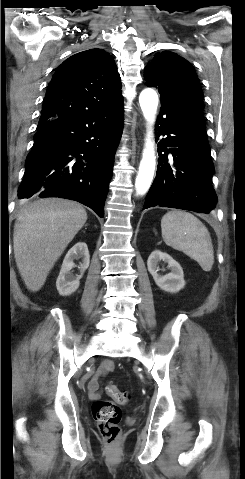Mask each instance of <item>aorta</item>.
Instances as JSON below:
<instances>
[{
  "instance_id": "aorta-1",
  "label": "aorta",
  "mask_w": 245,
  "mask_h": 479,
  "mask_svg": "<svg viewBox=\"0 0 245 479\" xmlns=\"http://www.w3.org/2000/svg\"><path fill=\"white\" fill-rule=\"evenodd\" d=\"M139 103L143 115L148 122V126L147 136L145 140V148L143 150V157L140 162L139 172L136 177L135 188L138 195H144L150 188L156 165L154 142L152 139V126L155 121V115L158 106V95L152 89H145L141 92L139 96Z\"/></svg>"
}]
</instances>
